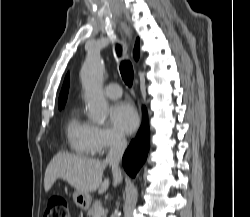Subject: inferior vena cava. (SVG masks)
I'll use <instances>...</instances> for the list:
<instances>
[{
	"instance_id": "1",
	"label": "inferior vena cava",
	"mask_w": 250,
	"mask_h": 217,
	"mask_svg": "<svg viewBox=\"0 0 250 217\" xmlns=\"http://www.w3.org/2000/svg\"><path fill=\"white\" fill-rule=\"evenodd\" d=\"M127 147V141L122 135H115L111 142V147L108 155L106 156L105 163L109 164L112 168L113 175L121 181V170L119 168V162Z\"/></svg>"
}]
</instances>
